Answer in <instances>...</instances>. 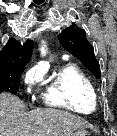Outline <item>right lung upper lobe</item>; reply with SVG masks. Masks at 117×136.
<instances>
[{
  "label": "right lung upper lobe",
  "mask_w": 117,
  "mask_h": 136,
  "mask_svg": "<svg viewBox=\"0 0 117 136\" xmlns=\"http://www.w3.org/2000/svg\"><path fill=\"white\" fill-rule=\"evenodd\" d=\"M33 41L28 40L20 45L15 39H10L0 52V68L9 66H25L32 55Z\"/></svg>",
  "instance_id": "1"
}]
</instances>
